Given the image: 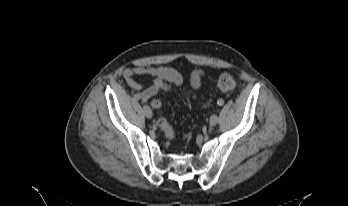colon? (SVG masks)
Here are the masks:
<instances>
[{
    "label": "colon",
    "mask_w": 348,
    "mask_h": 206,
    "mask_svg": "<svg viewBox=\"0 0 348 206\" xmlns=\"http://www.w3.org/2000/svg\"><path fill=\"white\" fill-rule=\"evenodd\" d=\"M217 86L222 91H233L236 88V82L231 75L223 74L218 79ZM152 106L155 108H159L161 106L160 100H153ZM158 126L166 138L171 139L174 136V130L172 126L168 123L166 118L160 117L158 119Z\"/></svg>",
    "instance_id": "5ec220e1"
}]
</instances>
